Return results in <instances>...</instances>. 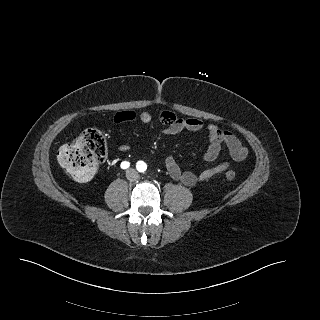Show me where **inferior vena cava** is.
Masks as SVG:
<instances>
[{"label": "inferior vena cava", "instance_id": "inferior-vena-cava-1", "mask_svg": "<svg viewBox=\"0 0 320 320\" xmlns=\"http://www.w3.org/2000/svg\"><path fill=\"white\" fill-rule=\"evenodd\" d=\"M127 179L130 181H135L139 178V174L136 170L130 169L126 172Z\"/></svg>", "mask_w": 320, "mask_h": 320}]
</instances>
